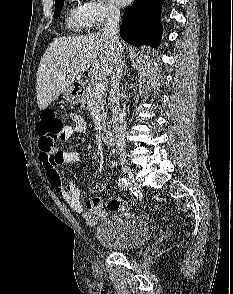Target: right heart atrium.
I'll return each instance as SVG.
<instances>
[{"label": "right heart atrium", "mask_w": 233, "mask_h": 294, "mask_svg": "<svg viewBox=\"0 0 233 294\" xmlns=\"http://www.w3.org/2000/svg\"><path fill=\"white\" fill-rule=\"evenodd\" d=\"M82 9L88 19L89 28L99 29L103 25L113 22L120 15L119 9L111 0H87Z\"/></svg>", "instance_id": "right-heart-atrium-1"}]
</instances>
